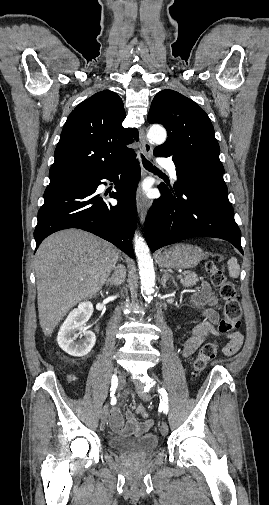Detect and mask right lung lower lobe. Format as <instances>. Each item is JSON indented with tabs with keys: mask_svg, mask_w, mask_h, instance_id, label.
Listing matches in <instances>:
<instances>
[{
	"mask_svg": "<svg viewBox=\"0 0 269 505\" xmlns=\"http://www.w3.org/2000/svg\"><path fill=\"white\" fill-rule=\"evenodd\" d=\"M139 178V162L135 157H128L79 182L46 188L34 231L36 249L56 231L79 228L113 243L135 258L131 242L136 226L135 192ZM102 179L116 180V192L110 197L118 199L117 205L104 202V197L96 193Z\"/></svg>",
	"mask_w": 269,
	"mask_h": 505,
	"instance_id": "obj_1",
	"label": "right lung lower lobe"
}]
</instances>
